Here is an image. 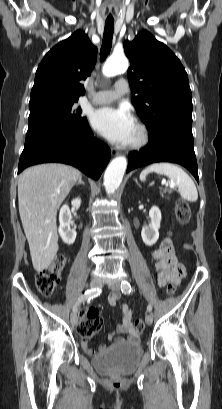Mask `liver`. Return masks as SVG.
<instances>
[{"label":"liver","mask_w":222,"mask_h":409,"mask_svg":"<svg viewBox=\"0 0 222 409\" xmlns=\"http://www.w3.org/2000/svg\"><path fill=\"white\" fill-rule=\"evenodd\" d=\"M80 177L79 170L57 163L30 167L19 176V214L37 272L57 254V210Z\"/></svg>","instance_id":"6515ba94"}]
</instances>
